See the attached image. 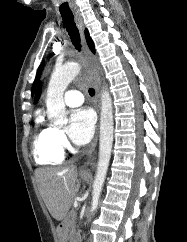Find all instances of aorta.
Listing matches in <instances>:
<instances>
[{
	"label": "aorta",
	"mask_w": 187,
	"mask_h": 242,
	"mask_svg": "<svg viewBox=\"0 0 187 242\" xmlns=\"http://www.w3.org/2000/svg\"><path fill=\"white\" fill-rule=\"evenodd\" d=\"M81 67L78 63H66L57 66L53 71L47 89L48 117L56 123L66 119L64 92L70 82L79 74ZM113 110L112 99L107 89L101 92L100 144L99 159L92 191L91 212L97 208L103 184L106 178L113 145Z\"/></svg>",
	"instance_id": "aorta-1"
}]
</instances>
